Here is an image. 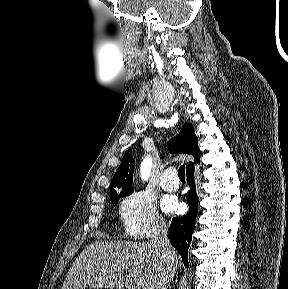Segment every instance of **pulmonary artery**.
I'll return each instance as SVG.
<instances>
[{"mask_svg": "<svg viewBox=\"0 0 288 289\" xmlns=\"http://www.w3.org/2000/svg\"><path fill=\"white\" fill-rule=\"evenodd\" d=\"M161 186L165 191L174 192L179 188V180L173 169H167L162 176Z\"/></svg>", "mask_w": 288, "mask_h": 289, "instance_id": "pulmonary-artery-1", "label": "pulmonary artery"}]
</instances>
